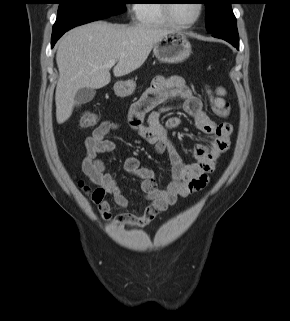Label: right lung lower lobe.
<instances>
[{
	"mask_svg": "<svg viewBox=\"0 0 290 321\" xmlns=\"http://www.w3.org/2000/svg\"><path fill=\"white\" fill-rule=\"evenodd\" d=\"M68 30L69 29L62 30V31H53L52 39H51V47H53L56 41Z\"/></svg>",
	"mask_w": 290,
	"mask_h": 321,
	"instance_id": "right-lung-lower-lobe-1",
	"label": "right lung lower lobe"
}]
</instances>
